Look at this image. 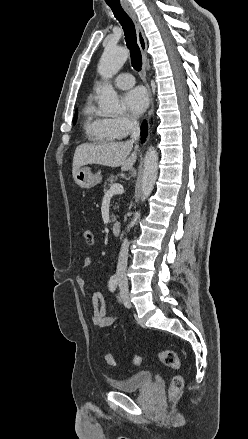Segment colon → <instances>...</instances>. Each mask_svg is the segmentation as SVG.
Listing matches in <instances>:
<instances>
[{
	"instance_id": "5ec220e1",
	"label": "colon",
	"mask_w": 248,
	"mask_h": 439,
	"mask_svg": "<svg viewBox=\"0 0 248 439\" xmlns=\"http://www.w3.org/2000/svg\"><path fill=\"white\" fill-rule=\"evenodd\" d=\"M83 237L85 242L88 245H94L95 244V235L94 233L86 229L83 231ZM158 359L167 367L171 369H179L180 367V359L178 355L174 351H161L158 353ZM104 359L106 363L110 366H114L116 364V360L114 356L111 353H106L104 356ZM133 363L135 365H140L142 363V357L139 355H135L133 357ZM183 388V378L179 375H176L173 377L170 388H169V396L171 399H175L179 396Z\"/></svg>"
}]
</instances>
